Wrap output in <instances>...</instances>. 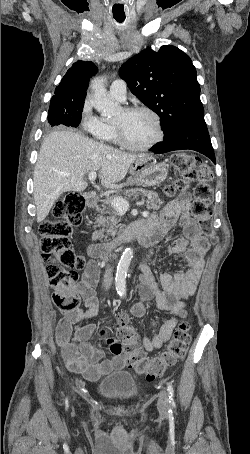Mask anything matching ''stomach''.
<instances>
[{
	"label": "stomach",
	"instance_id": "1",
	"mask_svg": "<svg viewBox=\"0 0 250 454\" xmlns=\"http://www.w3.org/2000/svg\"><path fill=\"white\" fill-rule=\"evenodd\" d=\"M130 173L135 184L153 186L166 179L168 165L165 162H157L153 156L143 155L135 160Z\"/></svg>",
	"mask_w": 250,
	"mask_h": 454
}]
</instances>
